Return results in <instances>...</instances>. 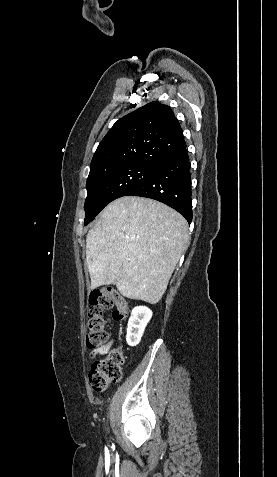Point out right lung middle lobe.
<instances>
[{"instance_id": "obj_1", "label": "right lung middle lobe", "mask_w": 277, "mask_h": 477, "mask_svg": "<svg viewBox=\"0 0 277 477\" xmlns=\"http://www.w3.org/2000/svg\"><path fill=\"white\" fill-rule=\"evenodd\" d=\"M156 165L127 163L108 170L90 173L87 180L88 195L85 200L84 225L92 221L110 202L126 196L143 183Z\"/></svg>"}]
</instances>
